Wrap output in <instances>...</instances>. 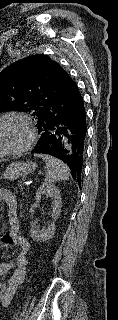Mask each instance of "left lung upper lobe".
I'll return each mask as SVG.
<instances>
[{
    "label": "left lung upper lobe",
    "mask_w": 118,
    "mask_h": 320,
    "mask_svg": "<svg viewBox=\"0 0 118 320\" xmlns=\"http://www.w3.org/2000/svg\"><path fill=\"white\" fill-rule=\"evenodd\" d=\"M71 81L68 73L46 55L21 59L0 73V112H28L39 120Z\"/></svg>",
    "instance_id": "1"
}]
</instances>
